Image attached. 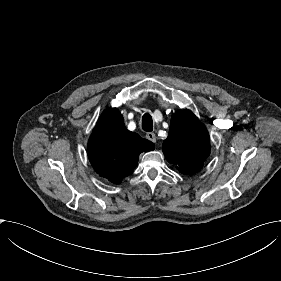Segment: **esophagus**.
Returning <instances> with one entry per match:
<instances>
[{
    "mask_svg": "<svg viewBox=\"0 0 281 281\" xmlns=\"http://www.w3.org/2000/svg\"><path fill=\"white\" fill-rule=\"evenodd\" d=\"M146 138L152 142H156V135L152 132L146 134Z\"/></svg>",
    "mask_w": 281,
    "mask_h": 281,
    "instance_id": "obj_1",
    "label": "esophagus"
}]
</instances>
